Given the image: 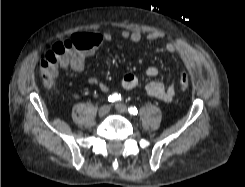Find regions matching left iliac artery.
<instances>
[{
	"mask_svg": "<svg viewBox=\"0 0 245 187\" xmlns=\"http://www.w3.org/2000/svg\"><path fill=\"white\" fill-rule=\"evenodd\" d=\"M128 111H129V113H130L131 115H137V113H138V110H137L136 107H130V108L128 109Z\"/></svg>",
	"mask_w": 245,
	"mask_h": 187,
	"instance_id": "obj_1",
	"label": "left iliac artery"
}]
</instances>
